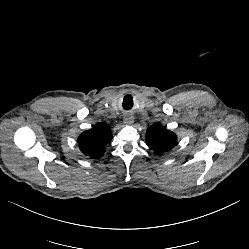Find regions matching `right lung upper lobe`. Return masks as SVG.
Segmentation results:
<instances>
[{
    "instance_id": "right-lung-upper-lobe-1",
    "label": "right lung upper lobe",
    "mask_w": 249,
    "mask_h": 249,
    "mask_svg": "<svg viewBox=\"0 0 249 249\" xmlns=\"http://www.w3.org/2000/svg\"><path fill=\"white\" fill-rule=\"evenodd\" d=\"M112 139L108 124L97 123L92 129L84 131L77 139L80 150L90 158H100L104 155L107 144Z\"/></svg>"
}]
</instances>
